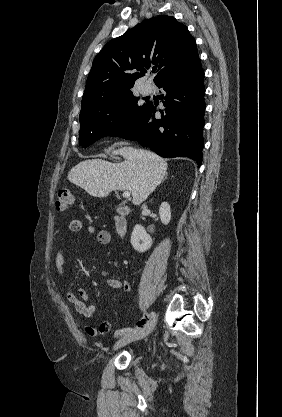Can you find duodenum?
Wrapping results in <instances>:
<instances>
[{"label": "duodenum", "mask_w": 282, "mask_h": 417, "mask_svg": "<svg viewBox=\"0 0 282 417\" xmlns=\"http://www.w3.org/2000/svg\"><path fill=\"white\" fill-rule=\"evenodd\" d=\"M114 227L119 237H125L128 230L127 218L124 214H118L114 219Z\"/></svg>", "instance_id": "obj_1"}]
</instances>
